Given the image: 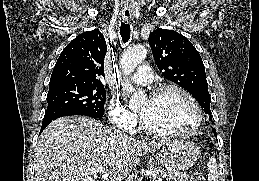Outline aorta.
<instances>
[{"label":"aorta","instance_id":"762f6f07","mask_svg":"<svg viewBox=\"0 0 259 181\" xmlns=\"http://www.w3.org/2000/svg\"><path fill=\"white\" fill-rule=\"evenodd\" d=\"M147 50L143 45H135L127 48L121 56L120 67L124 75H130L134 69L146 58ZM122 87L132 96L129 100L131 109L138 108L145 98L144 92L141 90L135 91L133 86L128 81H123Z\"/></svg>","mask_w":259,"mask_h":181}]
</instances>
